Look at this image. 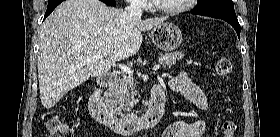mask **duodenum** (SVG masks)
I'll use <instances>...</instances> for the list:
<instances>
[{
	"instance_id": "obj_1",
	"label": "duodenum",
	"mask_w": 280,
	"mask_h": 137,
	"mask_svg": "<svg viewBox=\"0 0 280 137\" xmlns=\"http://www.w3.org/2000/svg\"><path fill=\"white\" fill-rule=\"evenodd\" d=\"M114 74L105 76L88 100V108L92 117L111 130L121 134H133L156 126L163 113L165 94L161 85L155 84L151 89L149 109L142 116L121 120L113 117L105 107L107 90L115 84Z\"/></svg>"
}]
</instances>
